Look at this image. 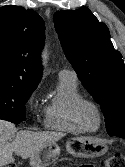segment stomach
Masks as SVG:
<instances>
[{
  "instance_id": "stomach-1",
  "label": "stomach",
  "mask_w": 125,
  "mask_h": 167,
  "mask_svg": "<svg viewBox=\"0 0 125 167\" xmlns=\"http://www.w3.org/2000/svg\"><path fill=\"white\" fill-rule=\"evenodd\" d=\"M107 146L99 139L89 137H73L67 140V152L79 158H93L102 156L107 152ZM61 153L57 143L50 144L41 149L30 158L31 167H47L55 162Z\"/></svg>"
}]
</instances>
